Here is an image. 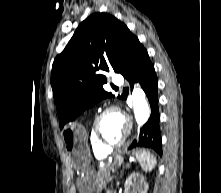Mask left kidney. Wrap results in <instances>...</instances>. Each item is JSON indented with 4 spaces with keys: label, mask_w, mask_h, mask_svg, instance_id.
Segmentation results:
<instances>
[{
    "label": "left kidney",
    "mask_w": 221,
    "mask_h": 193,
    "mask_svg": "<svg viewBox=\"0 0 221 193\" xmlns=\"http://www.w3.org/2000/svg\"><path fill=\"white\" fill-rule=\"evenodd\" d=\"M125 193H147L148 184L143 175L132 173L125 181Z\"/></svg>",
    "instance_id": "left-kidney-1"
}]
</instances>
